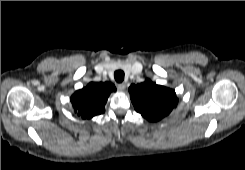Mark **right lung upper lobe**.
Returning <instances> with one entry per match:
<instances>
[{"label":"right lung upper lobe","instance_id":"cb5924a9","mask_svg":"<svg viewBox=\"0 0 245 170\" xmlns=\"http://www.w3.org/2000/svg\"><path fill=\"white\" fill-rule=\"evenodd\" d=\"M116 91L110 82H91L76 91L70 98L75 112L83 119H89L105 112V104L111 92Z\"/></svg>","mask_w":245,"mask_h":170}]
</instances>
